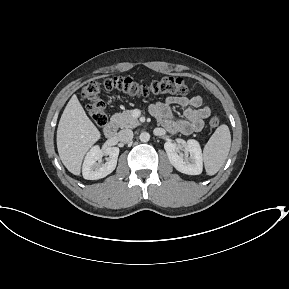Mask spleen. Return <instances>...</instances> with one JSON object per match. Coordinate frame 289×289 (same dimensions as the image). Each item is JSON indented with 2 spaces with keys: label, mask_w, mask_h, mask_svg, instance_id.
I'll return each mask as SVG.
<instances>
[{
  "label": "spleen",
  "mask_w": 289,
  "mask_h": 289,
  "mask_svg": "<svg viewBox=\"0 0 289 289\" xmlns=\"http://www.w3.org/2000/svg\"><path fill=\"white\" fill-rule=\"evenodd\" d=\"M231 147L229 127L220 125L203 150V160L207 175H215L225 163Z\"/></svg>",
  "instance_id": "1"
}]
</instances>
